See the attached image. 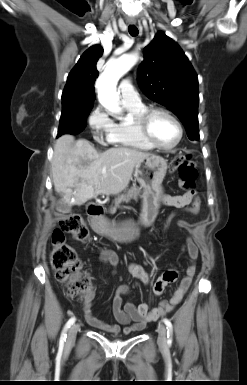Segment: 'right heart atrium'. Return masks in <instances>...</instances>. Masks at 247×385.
Instances as JSON below:
<instances>
[{
	"label": "right heart atrium",
	"mask_w": 247,
	"mask_h": 385,
	"mask_svg": "<svg viewBox=\"0 0 247 385\" xmlns=\"http://www.w3.org/2000/svg\"><path fill=\"white\" fill-rule=\"evenodd\" d=\"M88 124L94 138L98 141H109L108 136L113 126V121L101 107L94 108L88 117Z\"/></svg>",
	"instance_id": "right-heart-atrium-1"
}]
</instances>
